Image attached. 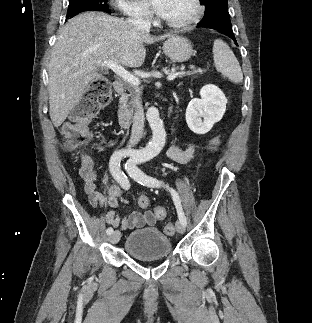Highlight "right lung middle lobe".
<instances>
[{
	"instance_id": "obj_1",
	"label": "right lung middle lobe",
	"mask_w": 312,
	"mask_h": 323,
	"mask_svg": "<svg viewBox=\"0 0 312 323\" xmlns=\"http://www.w3.org/2000/svg\"><path fill=\"white\" fill-rule=\"evenodd\" d=\"M108 0H69L66 18H72L76 14L84 11L96 10L110 12L107 4Z\"/></svg>"
}]
</instances>
